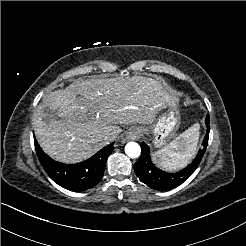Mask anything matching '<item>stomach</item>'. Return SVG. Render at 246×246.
<instances>
[{"label": "stomach", "instance_id": "obj_1", "mask_svg": "<svg viewBox=\"0 0 246 246\" xmlns=\"http://www.w3.org/2000/svg\"><path fill=\"white\" fill-rule=\"evenodd\" d=\"M178 112L169 110L162 114L158 120L149 128H141L144 134L153 133V144L161 147L166 144L167 139L171 136L176 125L178 124Z\"/></svg>", "mask_w": 246, "mask_h": 246}]
</instances>
